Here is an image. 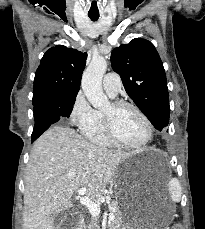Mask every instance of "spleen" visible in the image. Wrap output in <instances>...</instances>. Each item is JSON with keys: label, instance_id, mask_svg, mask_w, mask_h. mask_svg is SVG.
Listing matches in <instances>:
<instances>
[{"label": "spleen", "instance_id": "3e777b00", "mask_svg": "<svg viewBox=\"0 0 205 229\" xmlns=\"http://www.w3.org/2000/svg\"><path fill=\"white\" fill-rule=\"evenodd\" d=\"M169 193L173 202H180L182 196V188L177 178H172L169 181Z\"/></svg>", "mask_w": 205, "mask_h": 229}]
</instances>
